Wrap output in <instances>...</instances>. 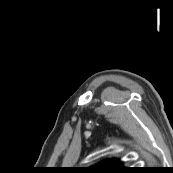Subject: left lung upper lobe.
Returning a JSON list of instances; mask_svg holds the SVG:
<instances>
[{
    "label": "left lung upper lobe",
    "mask_w": 173,
    "mask_h": 173,
    "mask_svg": "<svg viewBox=\"0 0 173 173\" xmlns=\"http://www.w3.org/2000/svg\"><path fill=\"white\" fill-rule=\"evenodd\" d=\"M131 168L123 167L118 159L104 160L92 167L85 168L87 173H129Z\"/></svg>",
    "instance_id": "obj_1"
}]
</instances>
